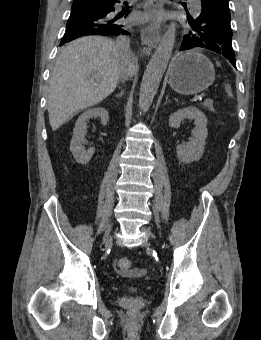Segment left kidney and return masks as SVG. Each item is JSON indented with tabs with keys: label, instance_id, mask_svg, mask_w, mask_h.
Here are the masks:
<instances>
[{
	"label": "left kidney",
	"instance_id": "5707ae66",
	"mask_svg": "<svg viewBox=\"0 0 261 340\" xmlns=\"http://www.w3.org/2000/svg\"><path fill=\"white\" fill-rule=\"evenodd\" d=\"M184 119H193L196 125L192 131L193 138L188 143H182L176 147L178 159L183 163H191L199 160L205 148L208 135L207 118L196 107L190 106L180 109L169 117V126L179 128Z\"/></svg>",
	"mask_w": 261,
	"mask_h": 340
}]
</instances>
